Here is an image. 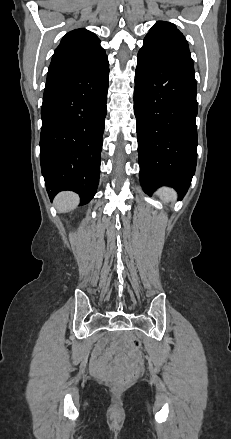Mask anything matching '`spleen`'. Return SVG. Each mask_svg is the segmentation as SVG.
Listing matches in <instances>:
<instances>
[{
    "mask_svg": "<svg viewBox=\"0 0 231 439\" xmlns=\"http://www.w3.org/2000/svg\"><path fill=\"white\" fill-rule=\"evenodd\" d=\"M157 195L164 202L173 201L176 199V192L172 188L162 187L157 191Z\"/></svg>",
    "mask_w": 231,
    "mask_h": 439,
    "instance_id": "spleen-1",
    "label": "spleen"
}]
</instances>
